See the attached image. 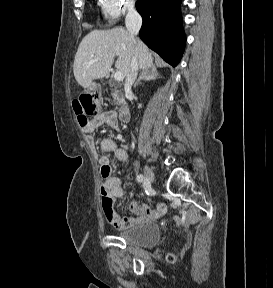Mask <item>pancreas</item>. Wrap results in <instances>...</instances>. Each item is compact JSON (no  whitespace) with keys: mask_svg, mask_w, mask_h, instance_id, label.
<instances>
[{"mask_svg":"<svg viewBox=\"0 0 273 288\" xmlns=\"http://www.w3.org/2000/svg\"><path fill=\"white\" fill-rule=\"evenodd\" d=\"M114 102L118 104L120 102V98H118V97H117V99L115 98Z\"/></svg>","mask_w":273,"mask_h":288,"instance_id":"1","label":"pancreas"}]
</instances>
